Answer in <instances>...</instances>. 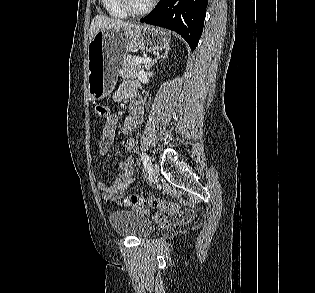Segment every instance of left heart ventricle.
Here are the masks:
<instances>
[{"label":"left heart ventricle","instance_id":"obj_1","mask_svg":"<svg viewBox=\"0 0 315 293\" xmlns=\"http://www.w3.org/2000/svg\"><path fill=\"white\" fill-rule=\"evenodd\" d=\"M151 0H132V4L134 7L141 9L149 4Z\"/></svg>","mask_w":315,"mask_h":293}]
</instances>
